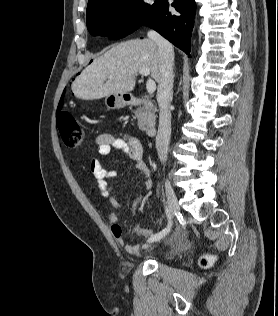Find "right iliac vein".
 I'll return each instance as SVG.
<instances>
[{"label": "right iliac vein", "mask_w": 278, "mask_h": 316, "mask_svg": "<svg viewBox=\"0 0 278 316\" xmlns=\"http://www.w3.org/2000/svg\"><path fill=\"white\" fill-rule=\"evenodd\" d=\"M165 190L167 196L168 210L171 218L174 217V215H176V213L179 211V204L174 189L172 188L168 180L165 181Z\"/></svg>", "instance_id": "right-iliac-vein-1"}]
</instances>
